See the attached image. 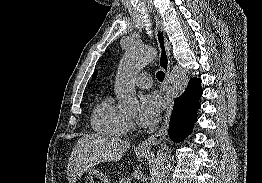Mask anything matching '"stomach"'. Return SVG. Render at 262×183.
I'll return each mask as SVG.
<instances>
[{
  "instance_id": "obj_1",
  "label": "stomach",
  "mask_w": 262,
  "mask_h": 183,
  "mask_svg": "<svg viewBox=\"0 0 262 183\" xmlns=\"http://www.w3.org/2000/svg\"><path fill=\"white\" fill-rule=\"evenodd\" d=\"M141 157H147V152L137 153ZM85 183H110L107 176L95 169H91L85 178Z\"/></svg>"
}]
</instances>
